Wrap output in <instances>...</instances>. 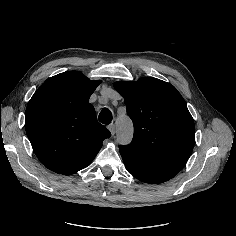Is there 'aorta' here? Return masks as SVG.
<instances>
[{
    "instance_id": "1",
    "label": "aorta",
    "mask_w": 236,
    "mask_h": 236,
    "mask_svg": "<svg viewBox=\"0 0 236 236\" xmlns=\"http://www.w3.org/2000/svg\"><path fill=\"white\" fill-rule=\"evenodd\" d=\"M117 140L121 144H128L133 135V126L129 118L122 116L117 119Z\"/></svg>"
}]
</instances>
